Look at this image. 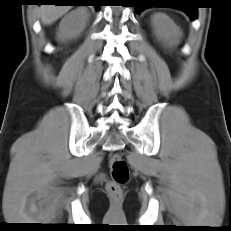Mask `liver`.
<instances>
[{"label":"liver","instance_id":"1","mask_svg":"<svg viewBox=\"0 0 231 231\" xmlns=\"http://www.w3.org/2000/svg\"><path fill=\"white\" fill-rule=\"evenodd\" d=\"M72 7L70 5H41L37 8L43 24L50 25L66 14Z\"/></svg>","mask_w":231,"mask_h":231}]
</instances>
